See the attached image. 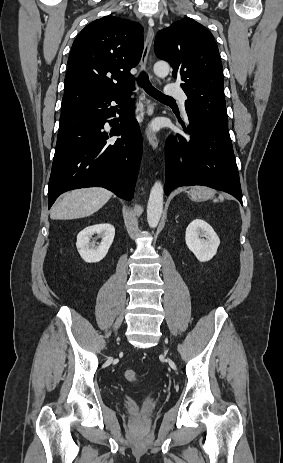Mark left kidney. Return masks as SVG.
I'll return each mask as SVG.
<instances>
[{"mask_svg":"<svg viewBox=\"0 0 283 463\" xmlns=\"http://www.w3.org/2000/svg\"><path fill=\"white\" fill-rule=\"evenodd\" d=\"M186 244L200 262L211 260L217 253L220 239L204 220H193L186 229Z\"/></svg>","mask_w":283,"mask_h":463,"instance_id":"obj_1","label":"left kidney"}]
</instances>
